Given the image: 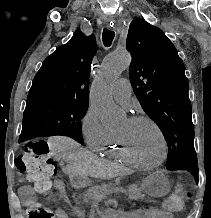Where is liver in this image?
Listing matches in <instances>:
<instances>
[{
	"mask_svg": "<svg viewBox=\"0 0 211 218\" xmlns=\"http://www.w3.org/2000/svg\"><path fill=\"white\" fill-rule=\"evenodd\" d=\"M50 154L56 158H62L64 162H69V176H95V178H116L123 176L125 168L118 164H111L106 160L97 158L92 152H86L71 138L65 136H55L48 140Z\"/></svg>",
	"mask_w": 211,
	"mask_h": 218,
	"instance_id": "obj_1",
	"label": "liver"
}]
</instances>
